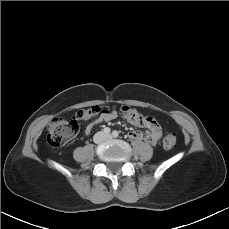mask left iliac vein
<instances>
[{"label": "left iliac vein", "instance_id": "4c4485c4", "mask_svg": "<svg viewBox=\"0 0 229 229\" xmlns=\"http://www.w3.org/2000/svg\"><path fill=\"white\" fill-rule=\"evenodd\" d=\"M107 138H108V139H110V138H111V136H110V135H108V136H107Z\"/></svg>", "mask_w": 229, "mask_h": 229}]
</instances>
